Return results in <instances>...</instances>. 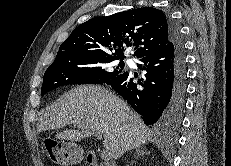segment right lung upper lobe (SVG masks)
Listing matches in <instances>:
<instances>
[{
    "label": "right lung upper lobe",
    "instance_id": "cb5924a9",
    "mask_svg": "<svg viewBox=\"0 0 231 166\" xmlns=\"http://www.w3.org/2000/svg\"><path fill=\"white\" fill-rule=\"evenodd\" d=\"M170 39L169 18L159 9L144 7L79 25L61 44L56 58L99 54L123 59L124 50L132 45L134 55L142 58L164 48Z\"/></svg>",
    "mask_w": 231,
    "mask_h": 166
}]
</instances>
